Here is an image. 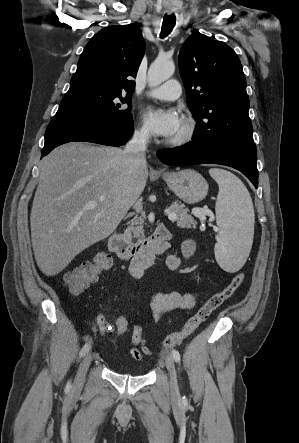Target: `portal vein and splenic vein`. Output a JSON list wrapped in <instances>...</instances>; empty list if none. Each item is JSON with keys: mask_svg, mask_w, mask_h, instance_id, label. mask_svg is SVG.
<instances>
[{"mask_svg": "<svg viewBox=\"0 0 299 443\" xmlns=\"http://www.w3.org/2000/svg\"><path fill=\"white\" fill-rule=\"evenodd\" d=\"M96 205L95 202H90L86 205L87 208H92ZM165 213L168 215L169 220L174 221L176 220V214L174 212H171L170 209H166ZM203 214H206V212H202Z\"/></svg>", "mask_w": 299, "mask_h": 443, "instance_id": "18ae733b", "label": "portal vein and splenic vein"}]
</instances>
